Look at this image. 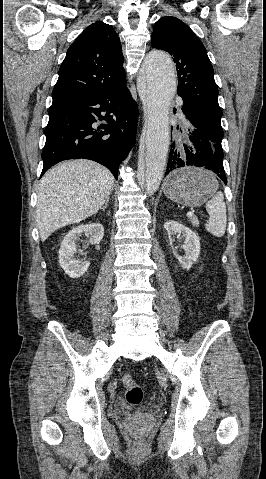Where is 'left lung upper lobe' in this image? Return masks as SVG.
<instances>
[{
    "label": "left lung upper lobe",
    "mask_w": 266,
    "mask_h": 479,
    "mask_svg": "<svg viewBox=\"0 0 266 479\" xmlns=\"http://www.w3.org/2000/svg\"><path fill=\"white\" fill-rule=\"evenodd\" d=\"M151 46L163 49L173 57L178 73V95L211 140L218 144L217 150L223 153L221 141L224 133L220 122L222 111L218 104L219 92L203 43L181 20L165 16L155 24Z\"/></svg>",
    "instance_id": "obj_1"
}]
</instances>
